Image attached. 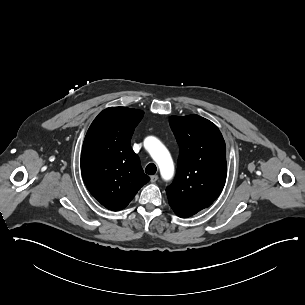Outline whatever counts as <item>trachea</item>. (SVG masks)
Returning <instances> with one entry per match:
<instances>
[{
	"label": "trachea",
	"instance_id": "obj_1",
	"mask_svg": "<svg viewBox=\"0 0 305 305\" xmlns=\"http://www.w3.org/2000/svg\"><path fill=\"white\" fill-rule=\"evenodd\" d=\"M157 171V167L155 164L153 163H150L146 166L145 168V172L148 174V175H154Z\"/></svg>",
	"mask_w": 305,
	"mask_h": 305
}]
</instances>
